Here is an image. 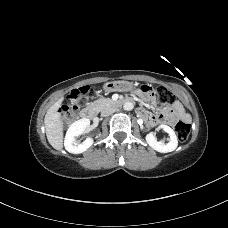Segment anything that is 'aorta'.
Listing matches in <instances>:
<instances>
[{
	"instance_id": "1",
	"label": "aorta",
	"mask_w": 228,
	"mask_h": 228,
	"mask_svg": "<svg viewBox=\"0 0 228 228\" xmlns=\"http://www.w3.org/2000/svg\"><path fill=\"white\" fill-rule=\"evenodd\" d=\"M134 107V104L132 102H125L123 105L124 110L131 111Z\"/></svg>"
}]
</instances>
